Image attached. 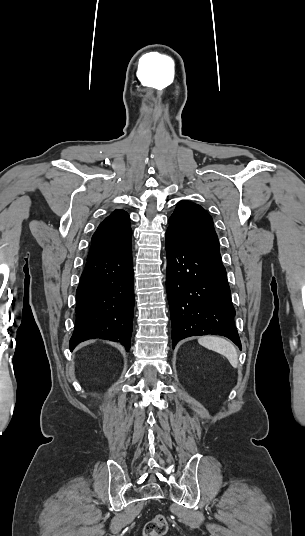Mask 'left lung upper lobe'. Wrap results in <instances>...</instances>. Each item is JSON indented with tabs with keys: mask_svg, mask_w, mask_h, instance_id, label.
<instances>
[{
	"mask_svg": "<svg viewBox=\"0 0 305 536\" xmlns=\"http://www.w3.org/2000/svg\"><path fill=\"white\" fill-rule=\"evenodd\" d=\"M166 234L175 236L188 246L219 252V241L213 219L198 204L189 201L178 202L169 218Z\"/></svg>",
	"mask_w": 305,
	"mask_h": 536,
	"instance_id": "1",
	"label": "left lung upper lobe"
}]
</instances>
